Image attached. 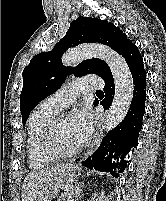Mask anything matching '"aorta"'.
I'll return each mask as SVG.
<instances>
[{
	"label": "aorta",
	"mask_w": 166,
	"mask_h": 201,
	"mask_svg": "<svg viewBox=\"0 0 166 201\" xmlns=\"http://www.w3.org/2000/svg\"><path fill=\"white\" fill-rule=\"evenodd\" d=\"M89 58L105 61L114 79L115 94L103 125V129L109 132L122 122L130 108L134 92L132 74L121 55L101 44H86L72 48L64 54L62 62L64 65H75Z\"/></svg>",
	"instance_id": "obj_1"
}]
</instances>
